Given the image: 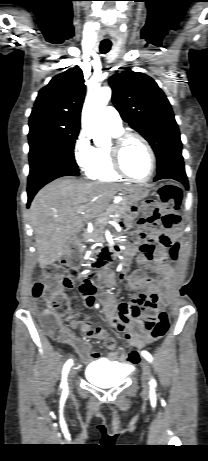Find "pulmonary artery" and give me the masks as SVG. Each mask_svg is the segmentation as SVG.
Listing matches in <instances>:
<instances>
[{"instance_id": "1", "label": "pulmonary artery", "mask_w": 208, "mask_h": 461, "mask_svg": "<svg viewBox=\"0 0 208 461\" xmlns=\"http://www.w3.org/2000/svg\"><path fill=\"white\" fill-rule=\"evenodd\" d=\"M103 122L110 130H120L122 128V120L118 111L108 106L103 112Z\"/></svg>"}]
</instances>
